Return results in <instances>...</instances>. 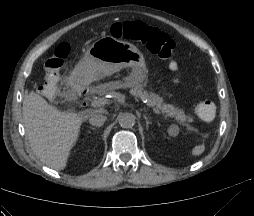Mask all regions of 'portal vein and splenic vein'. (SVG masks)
Segmentation results:
<instances>
[{
  "label": "portal vein and splenic vein",
  "instance_id": "portal-vein-and-splenic-vein-1",
  "mask_svg": "<svg viewBox=\"0 0 254 216\" xmlns=\"http://www.w3.org/2000/svg\"><path fill=\"white\" fill-rule=\"evenodd\" d=\"M108 103V99H106L105 97H100V98H96L91 102V106L92 107H100V106H104ZM153 111L156 114H161V112L157 109V108H152Z\"/></svg>",
  "mask_w": 254,
  "mask_h": 216
}]
</instances>
